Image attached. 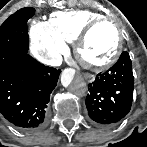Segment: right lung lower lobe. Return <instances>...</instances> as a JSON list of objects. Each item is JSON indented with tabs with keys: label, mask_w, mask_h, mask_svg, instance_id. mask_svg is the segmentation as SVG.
<instances>
[{
	"label": "right lung lower lobe",
	"mask_w": 147,
	"mask_h": 147,
	"mask_svg": "<svg viewBox=\"0 0 147 147\" xmlns=\"http://www.w3.org/2000/svg\"><path fill=\"white\" fill-rule=\"evenodd\" d=\"M59 73L28 54L13 59L0 68V112L20 130H40Z\"/></svg>",
	"instance_id": "98d812e1"
}]
</instances>
